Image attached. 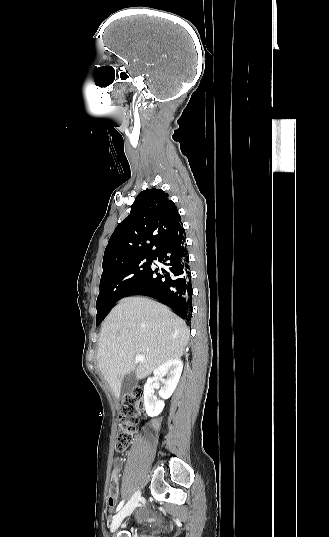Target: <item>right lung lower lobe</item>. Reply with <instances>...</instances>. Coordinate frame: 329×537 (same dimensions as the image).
<instances>
[{"mask_svg":"<svg viewBox=\"0 0 329 537\" xmlns=\"http://www.w3.org/2000/svg\"><path fill=\"white\" fill-rule=\"evenodd\" d=\"M152 260H157L165 267L150 265L126 296L146 295L156 298L170 306L183 319H189L193 289L185 231L159 249Z\"/></svg>","mask_w":329,"mask_h":537,"instance_id":"obj_1","label":"right lung lower lobe"}]
</instances>
